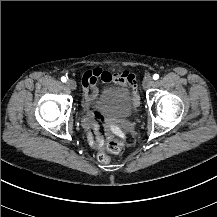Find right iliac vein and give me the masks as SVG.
Returning <instances> with one entry per match:
<instances>
[{"mask_svg": "<svg viewBox=\"0 0 217 217\" xmlns=\"http://www.w3.org/2000/svg\"><path fill=\"white\" fill-rule=\"evenodd\" d=\"M66 86L71 90H75L76 89V82L72 79H69L66 82Z\"/></svg>", "mask_w": 217, "mask_h": 217, "instance_id": "obj_1", "label": "right iliac vein"}]
</instances>
